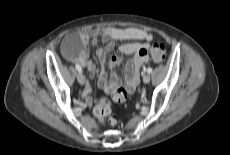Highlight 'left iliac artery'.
<instances>
[{
  "instance_id": "left-iliac-artery-1",
  "label": "left iliac artery",
  "mask_w": 230,
  "mask_h": 155,
  "mask_svg": "<svg viewBox=\"0 0 230 155\" xmlns=\"http://www.w3.org/2000/svg\"><path fill=\"white\" fill-rule=\"evenodd\" d=\"M147 72H148V73H151V72H152V68L149 67V68L147 69Z\"/></svg>"
}]
</instances>
